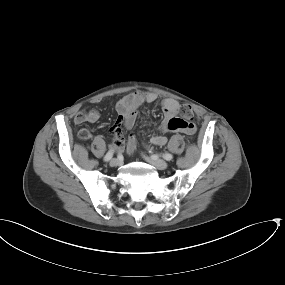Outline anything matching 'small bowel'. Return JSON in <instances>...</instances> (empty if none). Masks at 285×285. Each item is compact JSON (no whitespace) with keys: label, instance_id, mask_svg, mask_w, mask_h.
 I'll return each mask as SVG.
<instances>
[{"label":"small bowel","instance_id":"small-bowel-1","mask_svg":"<svg viewBox=\"0 0 285 285\" xmlns=\"http://www.w3.org/2000/svg\"><path fill=\"white\" fill-rule=\"evenodd\" d=\"M158 99V95L154 92H142L135 91L126 94L116 103L117 117L112 126V133L114 137L113 147L120 151L123 148V129L133 128L138 108L143 103H154ZM180 103L173 98H165L161 102V109L163 112V120L160 124V131L162 133L168 132H186L185 127L189 122L184 121L178 115L180 112ZM100 119V112L97 109H89L86 111H78L74 115L75 124L83 123H95ZM91 137V133L88 129H82L79 132V138L86 140ZM151 142L155 145L162 146L167 142V138L164 135H156L151 138ZM136 148V138L131 135L127 140V151L133 153Z\"/></svg>","mask_w":285,"mask_h":285}]
</instances>
